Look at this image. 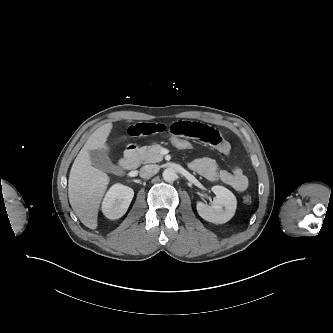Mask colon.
I'll return each instance as SVG.
<instances>
[{
    "mask_svg": "<svg viewBox=\"0 0 333 333\" xmlns=\"http://www.w3.org/2000/svg\"><path fill=\"white\" fill-rule=\"evenodd\" d=\"M167 142L175 149L179 151H191L196 148V141L190 138L169 135L166 137ZM243 200L246 204L252 202V197L250 195H245Z\"/></svg>",
    "mask_w": 333,
    "mask_h": 333,
    "instance_id": "5ec220e1",
    "label": "colon"
}]
</instances>
